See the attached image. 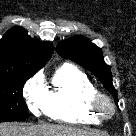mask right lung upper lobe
I'll return each instance as SVG.
<instances>
[{
	"instance_id": "cb5924a9",
	"label": "right lung upper lobe",
	"mask_w": 136,
	"mask_h": 136,
	"mask_svg": "<svg viewBox=\"0 0 136 136\" xmlns=\"http://www.w3.org/2000/svg\"><path fill=\"white\" fill-rule=\"evenodd\" d=\"M50 42L31 39L19 26L11 28L0 40V75L35 74L50 59Z\"/></svg>"
}]
</instances>
